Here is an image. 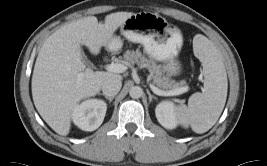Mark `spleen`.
<instances>
[{
	"instance_id": "1",
	"label": "spleen",
	"mask_w": 267,
	"mask_h": 166,
	"mask_svg": "<svg viewBox=\"0 0 267 166\" xmlns=\"http://www.w3.org/2000/svg\"><path fill=\"white\" fill-rule=\"evenodd\" d=\"M195 56L203 64L204 89L194 93L185 104L178 105L176 116L185 128L190 126L195 133L207 132L220 117L227 98V74L221 54L213 43L203 35L193 40Z\"/></svg>"
}]
</instances>
